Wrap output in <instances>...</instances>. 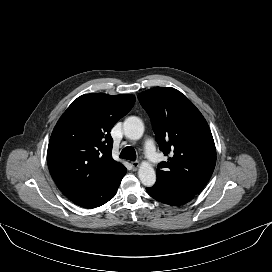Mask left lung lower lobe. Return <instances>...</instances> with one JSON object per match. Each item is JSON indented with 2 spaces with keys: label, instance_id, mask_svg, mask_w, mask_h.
Here are the masks:
<instances>
[{
  "label": "left lung lower lobe",
  "instance_id": "left-lung-lower-lobe-1",
  "mask_svg": "<svg viewBox=\"0 0 272 272\" xmlns=\"http://www.w3.org/2000/svg\"><path fill=\"white\" fill-rule=\"evenodd\" d=\"M148 194L155 200L170 206L183 205L192 200L196 194L180 189L164 186H153L146 188Z\"/></svg>",
  "mask_w": 272,
  "mask_h": 272
}]
</instances>
